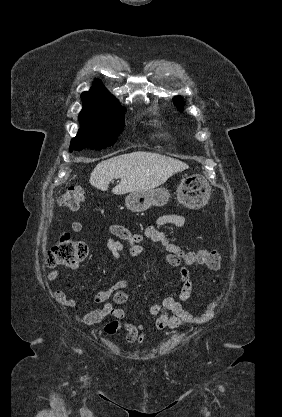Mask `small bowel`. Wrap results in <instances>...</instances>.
<instances>
[{"label":"small bowel","instance_id":"obj_1","mask_svg":"<svg viewBox=\"0 0 282 417\" xmlns=\"http://www.w3.org/2000/svg\"><path fill=\"white\" fill-rule=\"evenodd\" d=\"M185 224L186 217L183 214L166 213L159 216L154 224L147 226L139 233H133L119 224H109L106 228L111 235L107 246L114 259H122L125 248L129 249L131 256H138L144 249L142 243L149 240L165 251L166 262L173 268V272L180 280V289L153 303L150 307V315L153 317L155 328L158 330H173L185 324H203L214 315L216 302H212L200 316H193L181 304V301L187 300L191 295L193 289L192 274L186 266L187 257L184 251L168 238L163 228L173 226L184 229ZM83 228L84 224L81 221H74L71 224V230L75 233L81 232ZM59 277V270H53L47 274L49 282H54ZM126 285L127 280L122 279L112 286L100 290L95 295L94 302L103 304L102 307L87 313L83 318L74 315L75 319L92 325L100 323L106 317H113L114 319L103 327V332L106 335H115L119 331H124L127 343L142 344L145 340L146 327L140 323L133 324L124 321L127 316L126 312L116 306V304H122L127 300V295L122 291ZM53 296L58 303L66 307L72 308L76 305L75 299L67 297L60 289H56Z\"/></svg>","mask_w":282,"mask_h":417}]
</instances>
